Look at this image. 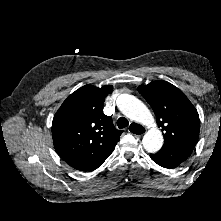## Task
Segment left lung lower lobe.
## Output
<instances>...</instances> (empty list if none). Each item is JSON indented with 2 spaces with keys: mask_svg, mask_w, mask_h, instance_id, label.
<instances>
[{
  "mask_svg": "<svg viewBox=\"0 0 221 221\" xmlns=\"http://www.w3.org/2000/svg\"><path fill=\"white\" fill-rule=\"evenodd\" d=\"M195 145L196 143L189 142L176 146H163L156 154H150V158L164 168H176L188 159Z\"/></svg>",
  "mask_w": 221,
  "mask_h": 221,
  "instance_id": "left-lung-lower-lobe-1",
  "label": "left lung lower lobe"
}]
</instances>
